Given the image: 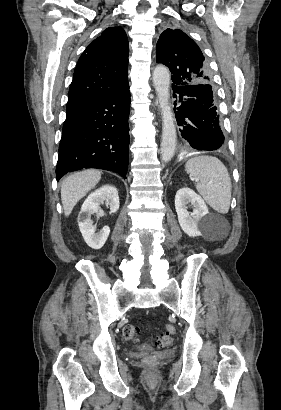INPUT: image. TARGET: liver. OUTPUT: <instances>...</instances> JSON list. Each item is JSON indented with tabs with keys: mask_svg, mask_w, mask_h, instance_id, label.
Segmentation results:
<instances>
[{
	"mask_svg": "<svg viewBox=\"0 0 281 410\" xmlns=\"http://www.w3.org/2000/svg\"><path fill=\"white\" fill-rule=\"evenodd\" d=\"M101 179V172L84 170L68 176L61 185V200L65 216H69L77 204Z\"/></svg>",
	"mask_w": 281,
	"mask_h": 410,
	"instance_id": "liver-1",
	"label": "liver"
}]
</instances>
